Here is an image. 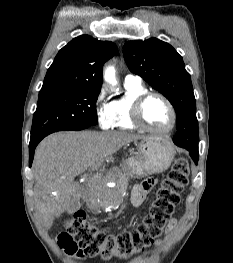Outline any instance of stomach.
<instances>
[{
	"instance_id": "obj_1",
	"label": "stomach",
	"mask_w": 233,
	"mask_h": 263,
	"mask_svg": "<svg viewBox=\"0 0 233 263\" xmlns=\"http://www.w3.org/2000/svg\"><path fill=\"white\" fill-rule=\"evenodd\" d=\"M175 150L169 140L148 136L137 145L136 155L128 159L124 171L131 178H142L165 171L173 161Z\"/></svg>"
}]
</instances>
